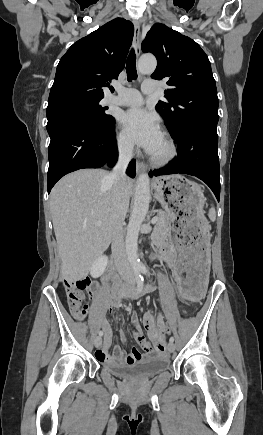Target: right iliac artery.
Masks as SVG:
<instances>
[{"label": "right iliac artery", "mask_w": 263, "mask_h": 435, "mask_svg": "<svg viewBox=\"0 0 263 435\" xmlns=\"http://www.w3.org/2000/svg\"><path fill=\"white\" fill-rule=\"evenodd\" d=\"M136 281H137V288L135 292L131 295L132 298L138 297V295L140 294L143 288V276L139 273L138 270H136ZM102 335H103L102 331H99V336Z\"/></svg>", "instance_id": "right-iliac-artery-1"}]
</instances>
